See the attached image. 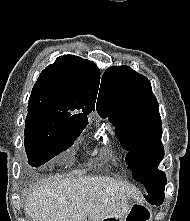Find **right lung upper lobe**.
I'll return each mask as SVG.
<instances>
[{
  "label": "right lung upper lobe",
  "instance_id": "right-lung-upper-lobe-1",
  "mask_svg": "<svg viewBox=\"0 0 190 221\" xmlns=\"http://www.w3.org/2000/svg\"><path fill=\"white\" fill-rule=\"evenodd\" d=\"M100 84L97 66L75 55H63L47 66L35 83L28 114L59 115L88 119L94 111Z\"/></svg>",
  "mask_w": 190,
  "mask_h": 221
}]
</instances>
